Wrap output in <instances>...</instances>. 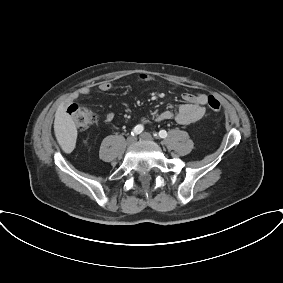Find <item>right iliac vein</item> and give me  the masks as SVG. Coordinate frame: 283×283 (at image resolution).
<instances>
[{"instance_id":"1","label":"right iliac vein","mask_w":283,"mask_h":283,"mask_svg":"<svg viewBox=\"0 0 283 283\" xmlns=\"http://www.w3.org/2000/svg\"><path fill=\"white\" fill-rule=\"evenodd\" d=\"M135 141H136V137L135 136H129L128 138H127V144L128 145H132V144H134L135 143Z\"/></svg>"}]
</instances>
